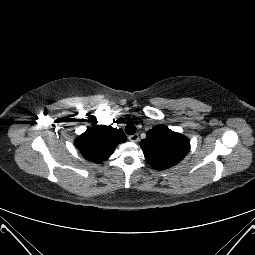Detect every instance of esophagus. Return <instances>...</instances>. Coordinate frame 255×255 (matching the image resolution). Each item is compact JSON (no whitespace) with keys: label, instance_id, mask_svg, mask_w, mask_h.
Segmentation results:
<instances>
[{"label":"esophagus","instance_id":"1","mask_svg":"<svg viewBox=\"0 0 255 255\" xmlns=\"http://www.w3.org/2000/svg\"><path fill=\"white\" fill-rule=\"evenodd\" d=\"M128 139H129L131 142H138V140H139V135H138V134L130 135V136L128 137Z\"/></svg>","mask_w":255,"mask_h":255}]
</instances>
